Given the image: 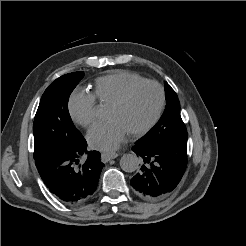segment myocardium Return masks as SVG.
<instances>
[{
  "mask_svg": "<svg viewBox=\"0 0 246 246\" xmlns=\"http://www.w3.org/2000/svg\"><path fill=\"white\" fill-rule=\"evenodd\" d=\"M143 85H154V86H156L159 90L160 100H159V104H158V107L156 109V112H155L154 116L151 118V120L146 125H144L143 127L130 132V134L132 136H136V137L146 134L148 131H150L155 126V124L160 119L162 112L164 110V107H165V102H166V95H165V90H164L163 86L156 80L143 79L141 81H138V82L133 83L130 86H128L119 95V97L116 100H114L110 105V107H119V106L123 105L128 100L130 95L136 89H138L139 87H141Z\"/></svg>",
  "mask_w": 246,
  "mask_h": 246,
  "instance_id": "f54148a6",
  "label": "myocardium"
}]
</instances>
